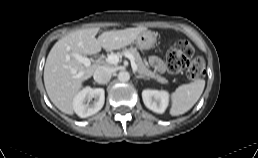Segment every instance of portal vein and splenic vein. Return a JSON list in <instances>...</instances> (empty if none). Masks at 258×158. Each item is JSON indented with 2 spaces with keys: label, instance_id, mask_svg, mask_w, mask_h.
<instances>
[{
  "label": "portal vein and splenic vein",
  "instance_id": "portal-vein-and-splenic-vein-1",
  "mask_svg": "<svg viewBox=\"0 0 258 158\" xmlns=\"http://www.w3.org/2000/svg\"><path fill=\"white\" fill-rule=\"evenodd\" d=\"M124 55L130 60L131 67H132L133 71L136 72L137 71V66H136L135 59H134L133 55L130 54V53H125ZM73 56L75 57L76 60H78L79 62L84 64V66L88 67V66L91 65V59H89L88 57L82 56L80 54H74ZM105 61L108 64L115 65L119 62V57L116 54H111L107 58H105Z\"/></svg>",
  "mask_w": 258,
  "mask_h": 158
}]
</instances>
